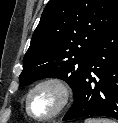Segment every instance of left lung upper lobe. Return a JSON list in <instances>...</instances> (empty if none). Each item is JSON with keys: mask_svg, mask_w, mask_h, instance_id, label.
I'll return each instance as SVG.
<instances>
[{"mask_svg": "<svg viewBox=\"0 0 118 123\" xmlns=\"http://www.w3.org/2000/svg\"><path fill=\"white\" fill-rule=\"evenodd\" d=\"M117 19V0H50L24 56L20 85L60 78L75 95L94 45Z\"/></svg>", "mask_w": 118, "mask_h": 123, "instance_id": "obj_1", "label": "left lung upper lobe"}]
</instances>
